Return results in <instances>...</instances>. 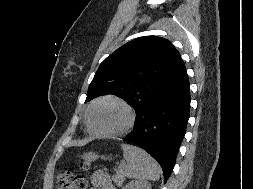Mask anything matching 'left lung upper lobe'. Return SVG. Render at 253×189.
Instances as JSON below:
<instances>
[{
    "mask_svg": "<svg viewBox=\"0 0 253 189\" xmlns=\"http://www.w3.org/2000/svg\"><path fill=\"white\" fill-rule=\"evenodd\" d=\"M184 67L179 52L167 39L137 38L101 63L89 85L86 102L114 94L125 99L137 113L169 86Z\"/></svg>",
    "mask_w": 253,
    "mask_h": 189,
    "instance_id": "5c2ea615",
    "label": "left lung upper lobe"
}]
</instances>
